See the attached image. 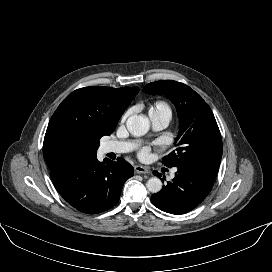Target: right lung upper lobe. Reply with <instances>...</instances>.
<instances>
[{"label":"right lung upper lobe","instance_id":"cb5924a9","mask_svg":"<svg viewBox=\"0 0 272 272\" xmlns=\"http://www.w3.org/2000/svg\"><path fill=\"white\" fill-rule=\"evenodd\" d=\"M138 92V87L97 86L68 95L52 115L46 130L43 155L49 169L95 155L100 138L114 131Z\"/></svg>","mask_w":272,"mask_h":272}]
</instances>
